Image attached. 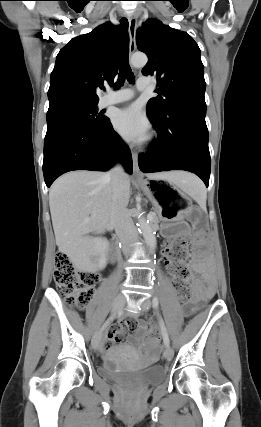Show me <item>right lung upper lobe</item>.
I'll list each match as a JSON object with an SVG mask.
<instances>
[{"mask_svg": "<svg viewBox=\"0 0 261 427\" xmlns=\"http://www.w3.org/2000/svg\"><path fill=\"white\" fill-rule=\"evenodd\" d=\"M127 33L110 22L73 38L56 57L48 91L49 109L97 105L96 89L113 84Z\"/></svg>", "mask_w": 261, "mask_h": 427, "instance_id": "cb5924a9", "label": "right lung upper lobe"}]
</instances>
